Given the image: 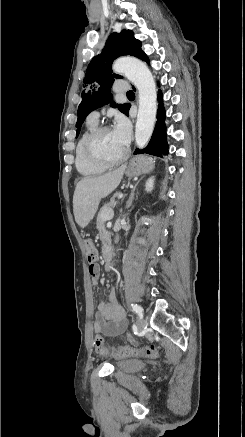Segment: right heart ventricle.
I'll return each instance as SVG.
<instances>
[{"label":"right heart ventricle","mask_w":245,"mask_h":437,"mask_svg":"<svg viewBox=\"0 0 245 437\" xmlns=\"http://www.w3.org/2000/svg\"><path fill=\"white\" fill-rule=\"evenodd\" d=\"M97 127V122L87 120L85 128L77 140L75 147V167L83 176H96L104 173L108 167L92 162L85 154L84 142L88 134Z\"/></svg>","instance_id":"right-heart-ventricle-1"}]
</instances>
